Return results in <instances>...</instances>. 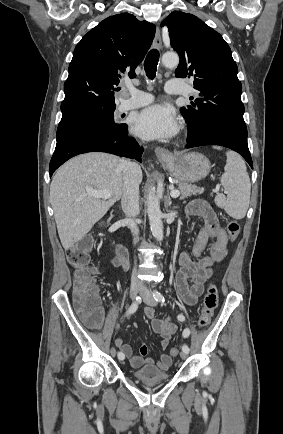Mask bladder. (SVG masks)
<instances>
[{"label":"bladder","instance_id":"31cf9c89","mask_svg":"<svg viewBox=\"0 0 283 434\" xmlns=\"http://www.w3.org/2000/svg\"><path fill=\"white\" fill-rule=\"evenodd\" d=\"M134 379L141 382L167 381L170 378L168 372L162 371L154 365H145L132 371Z\"/></svg>","mask_w":283,"mask_h":434}]
</instances>
